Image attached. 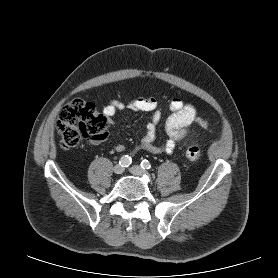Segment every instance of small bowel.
Here are the masks:
<instances>
[{
	"label": "small bowel",
	"mask_w": 278,
	"mask_h": 278,
	"mask_svg": "<svg viewBox=\"0 0 278 278\" xmlns=\"http://www.w3.org/2000/svg\"><path fill=\"white\" fill-rule=\"evenodd\" d=\"M129 108L133 111L152 112V117L147 125L146 133L142 137L137 149L145 150L150 153H166L172 154L176 143L188 134V129L191 125L196 124L202 128H206L208 123L205 119L198 116L196 108L188 103H185L180 98H173L169 103L171 114L166 119L164 129L167 134V140L161 144L154 143L156 138L157 126L161 120V112L158 109V103L153 97H141L134 99L128 105L119 100H111L107 104L103 113L107 117L108 122H111L117 111ZM104 135L100 140L105 139ZM123 145H117L116 151H123Z\"/></svg>",
	"instance_id": "obj_1"
}]
</instances>
